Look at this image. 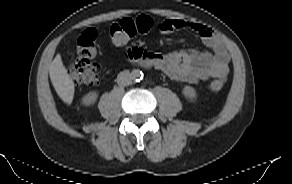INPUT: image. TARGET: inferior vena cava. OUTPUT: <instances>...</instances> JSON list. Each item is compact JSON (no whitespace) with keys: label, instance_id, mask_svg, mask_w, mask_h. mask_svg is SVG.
<instances>
[{"label":"inferior vena cava","instance_id":"obj_1","mask_svg":"<svg viewBox=\"0 0 292 184\" xmlns=\"http://www.w3.org/2000/svg\"><path fill=\"white\" fill-rule=\"evenodd\" d=\"M132 82L131 73L128 70L120 72L117 76V83L120 86H127Z\"/></svg>","mask_w":292,"mask_h":184}]
</instances>
